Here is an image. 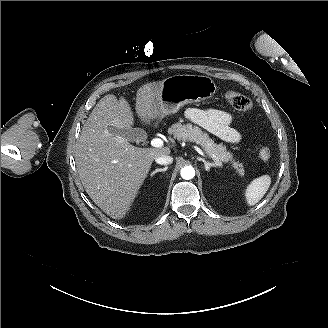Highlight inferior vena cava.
Listing matches in <instances>:
<instances>
[{
    "mask_svg": "<svg viewBox=\"0 0 328 328\" xmlns=\"http://www.w3.org/2000/svg\"><path fill=\"white\" fill-rule=\"evenodd\" d=\"M155 161L158 164L167 165V164H171L173 162V158L169 155H161V156H158L155 159Z\"/></svg>",
    "mask_w": 328,
    "mask_h": 328,
    "instance_id": "obj_1",
    "label": "inferior vena cava"
}]
</instances>
